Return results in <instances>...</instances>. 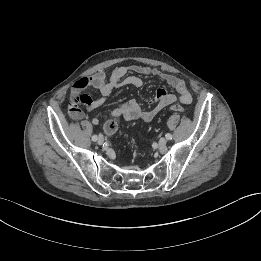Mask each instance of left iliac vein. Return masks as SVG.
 <instances>
[{"label":"left iliac vein","mask_w":261,"mask_h":261,"mask_svg":"<svg viewBox=\"0 0 261 261\" xmlns=\"http://www.w3.org/2000/svg\"><path fill=\"white\" fill-rule=\"evenodd\" d=\"M158 143L160 147H164L167 143V140L165 138H160Z\"/></svg>","instance_id":"4c4485c4"}]
</instances>
